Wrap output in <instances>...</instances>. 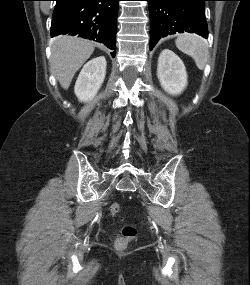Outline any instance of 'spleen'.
Wrapping results in <instances>:
<instances>
[{
    "label": "spleen",
    "mask_w": 250,
    "mask_h": 285,
    "mask_svg": "<svg viewBox=\"0 0 250 285\" xmlns=\"http://www.w3.org/2000/svg\"><path fill=\"white\" fill-rule=\"evenodd\" d=\"M177 48L183 53L191 56L198 69L203 70L207 63L209 51L203 38L196 34L180 35L176 41Z\"/></svg>",
    "instance_id": "1"
}]
</instances>
